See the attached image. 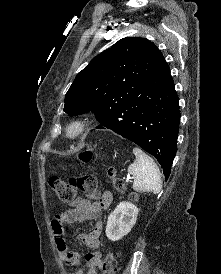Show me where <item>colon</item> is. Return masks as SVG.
Segmentation results:
<instances>
[{
    "label": "colon",
    "mask_w": 221,
    "mask_h": 274,
    "mask_svg": "<svg viewBox=\"0 0 221 274\" xmlns=\"http://www.w3.org/2000/svg\"><path fill=\"white\" fill-rule=\"evenodd\" d=\"M92 153L90 149L80 153L79 158L82 162L87 163L91 160ZM108 174L112 178L113 185L119 193L126 192V186L122 180L116 177L114 168L108 169ZM49 185L53 192L64 202H70L74 199L77 192H83L87 197L98 198L97 180L93 175H84L78 178H72L69 182L64 181L58 176H52ZM132 199L134 194L129 195ZM117 260L112 252H108L103 262V274H116Z\"/></svg>",
    "instance_id": "5ec220e1"
}]
</instances>
